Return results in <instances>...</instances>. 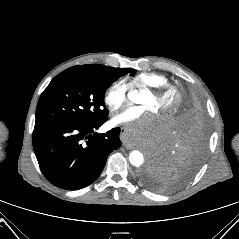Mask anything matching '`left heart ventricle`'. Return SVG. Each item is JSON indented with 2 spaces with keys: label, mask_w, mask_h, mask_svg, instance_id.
Masks as SVG:
<instances>
[{
  "label": "left heart ventricle",
  "mask_w": 239,
  "mask_h": 239,
  "mask_svg": "<svg viewBox=\"0 0 239 239\" xmlns=\"http://www.w3.org/2000/svg\"><path fill=\"white\" fill-rule=\"evenodd\" d=\"M141 104L151 107L157 115L162 114L170 104L169 98L157 99L149 92L145 91L140 99Z\"/></svg>",
  "instance_id": "1"
}]
</instances>
